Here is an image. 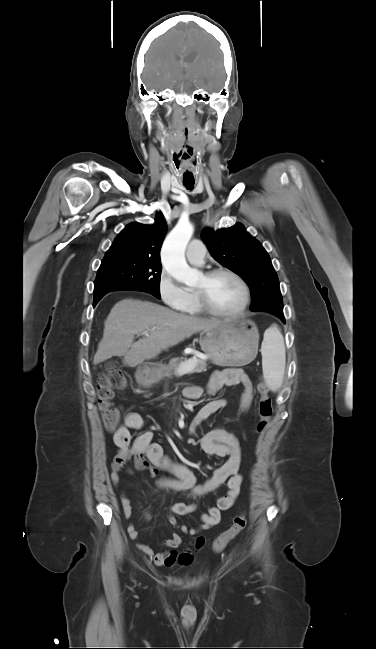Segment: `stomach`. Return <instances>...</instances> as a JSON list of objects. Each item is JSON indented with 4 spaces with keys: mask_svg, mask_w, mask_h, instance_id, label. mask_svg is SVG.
I'll return each instance as SVG.
<instances>
[{
    "mask_svg": "<svg viewBox=\"0 0 376 649\" xmlns=\"http://www.w3.org/2000/svg\"><path fill=\"white\" fill-rule=\"evenodd\" d=\"M257 327L247 320L223 321L218 326L206 328L200 333L201 350L219 366H242L251 362L257 354ZM173 370V366L170 365ZM159 368H145L142 384L155 382Z\"/></svg>",
    "mask_w": 376,
    "mask_h": 649,
    "instance_id": "stomach-1",
    "label": "stomach"
}]
</instances>
